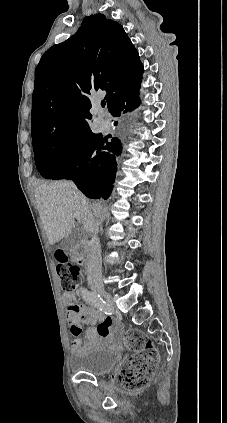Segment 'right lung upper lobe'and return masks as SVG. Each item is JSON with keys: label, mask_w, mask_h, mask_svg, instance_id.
<instances>
[{"label": "right lung upper lobe", "mask_w": 227, "mask_h": 423, "mask_svg": "<svg viewBox=\"0 0 227 423\" xmlns=\"http://www.w3.org/2000/svg\"><path fill=\"white\" fill-rule=\"evenodd\" d=\"M143 65L123 27L102 14L84 19L70 39L52 46L35 70L32 142L91 134L90 96L106 91L107 106L139 93Z\"/></svg>", "instance_id": "right-lung-upper-lobe-1"}]
</instances>
